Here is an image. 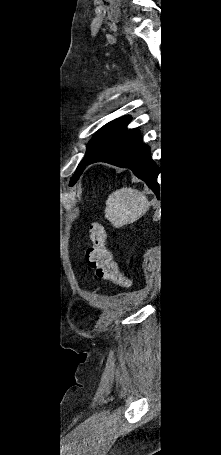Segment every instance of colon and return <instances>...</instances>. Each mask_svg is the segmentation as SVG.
Segmentation results:
<instances>
[{"label":"colon","mask_w":221,"mask_h":455,"mask_svg":"<svg viewBox=\"0 0 221 455\" xmlns=\"http://www.w3.org/2000/svg\"><path fill=\"white\" fill-rule=\"evenodd\" d=\"M91 245L86 252L88 265L96 272V276L104 281H110L120 286H128L129 279L123 274L112 259L106 245L104 229L100 224H94L90 229Z\"/></svg>","instance_id":"5ec220e1"}]
</instances>
